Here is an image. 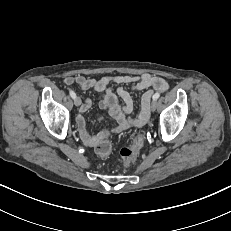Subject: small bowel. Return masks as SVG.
Returning <instances> with one entry per match:
<instances>
[{"label":"small bowel","mask_w":231,"mask_h":231,"mask_svg":"<svg viewBox=\"0 0 231 231\" xmlns=\"http://www.w3.org/2000/svg\"><path fill=\"white\" fill-rule=\"evenodd\" d=\"M63 82L66 85H77L81 90L93 89L101 94L99 106L106 110L117 122L115 132H121L132 126H141L148 120V104L153 90L167 91L169 84L162 76L151 75L148 73L142 75H105L99 79L86 78L80 75L68 76ZM111 84L129 85L132 90L145 91L141 97V112L137 117H133V99L128 90L122 86L115 90L110 87ZM92 107V100L86 99L80 109V114L76 121L80 138L84 145L96 147L98 142L107 134L101 132L91 135L86 129V123L83 113Z\"/></svg>","instance_id":"1"}]
</instances>
